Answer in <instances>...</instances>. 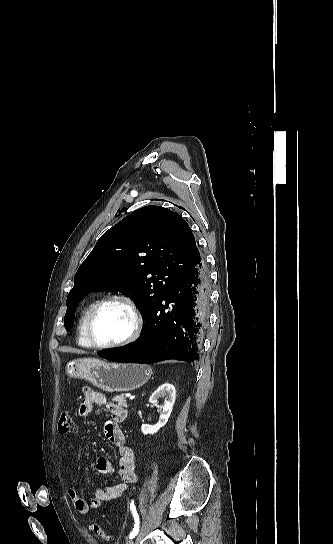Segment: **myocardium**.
Instances as JSON below:
<instances>
[{
    "instance_id": "1",
    "label": "myocardium",
    "mask_w": 333,
    "mask_h": 544,
    "mask_svg": "<svg viewBox=\"0 0 333 544\" xmlns=\"http://www.w3.org/2000/svg\"><path fill=\"white\" fill-rule=\"evenodd\" d=\"M111 302H122V303H124L130 309V311H131V313L133 315L134 325H133V329H132L131 333L125 339L120 340L118 342H114V343L102 344V343L97 342L95 337H94L93 324H94V321H95L98 313L100 312V310L105 305H107L108 303H111ZM142 329H143V315H142V312H141L139 306L137 305L136 301L133 298H131L130 296L125 295V294H113V295L106 296V297L102 298L101 300H99L95 304V306L92 308V310L90 311V313H89V315L87 317L86 326H85L86 337H87L88 341L90 342L92 347H95L97 349H115V348H120V347H124L126 345H129V344L133 343L140 336V334L142 332Z\"/></svg>"
}]
</instances>
